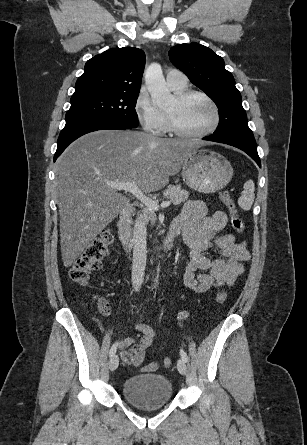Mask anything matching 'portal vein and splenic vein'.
<instances>
[{"mask_svg":"<svg viewBox=\"0 0 307 445\" xmlns=\"http://www.w3.org/2000/svg\"><path fill=\"white\" fill-rule=\"evenodd\" d=\"M107 184L112 186V188H117V190H128V192H132L134 196H137L138 200H141L143 204H146L148 208H153V210H159V206L165 208V206H170L171 204V200H163L161 204H158L157 200H152L147 194H144L136 182H107Z\"/></svg>","mask_w":307,"mask_h":445,"instance_id":"18ae733b","label":"portal vein and splenic vein"}]
</instances>
